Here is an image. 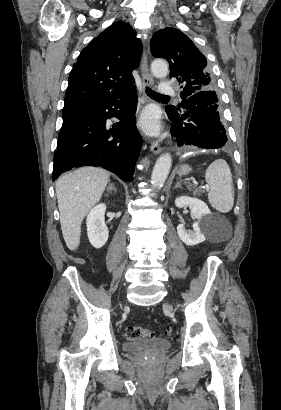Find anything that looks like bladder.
Masks as SVG:
<instances>
[{
	"mask_svg": "<svg viewBox=\"0 0 281 410\" xmlns=\"http://www.w3.org/2000/svg\"><path fill=\"white\" fill-rule=\"evenodd\" d=\"M171 347V342L163 339L128 340L124 343V350L131 353L154 354L165 352Z\"/></svg>",
	"mask_w": 281,
	"mask_h": 410,
	"instance_id": "bladder-1",
	"label": "bladder"
}]
</instances>
